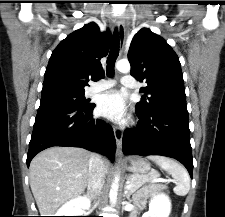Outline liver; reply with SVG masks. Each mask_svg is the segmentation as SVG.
<instances>
[{
	"label": "liver",
	"instance_id": "1",
	"mask_svg": "<svg viewBox=\"0 0 225 217\" xmlns=\"http://www.w3.org/2000/svg\"><path fill=\"white\" fill-rule=\"evenodd\" d=\"M91 155L82 148L51 147L32 159L30 187L41 216H53L61 205L84 192ZM104 168L108 174V160L104 161Z\"/></svg>",
	"mask_w": 225,
	"mask_h": 217
}]
</instances>
